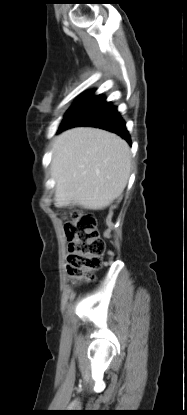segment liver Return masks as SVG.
Listing matches in <instances>:
<instances>
[{
	"mask_svg": "<svg viewBox=\"0 0 187 415\" xmlns=\"http://www.w3.org/2000/svg\"><path fill=\"white\" fill-rule=\"evenodd\" d=\"M130 170V149L119 136L90 127L67 130L53 146L55 205L104 209L122 194Z\"/></svg>",
	"mask_w": 187,
	"mask_h": 415,
	"instance_id": "obj_1",
	"label": "liver"
}]
</instances>
